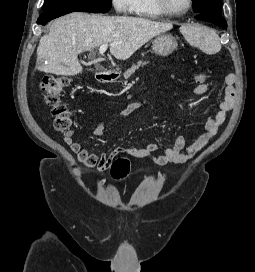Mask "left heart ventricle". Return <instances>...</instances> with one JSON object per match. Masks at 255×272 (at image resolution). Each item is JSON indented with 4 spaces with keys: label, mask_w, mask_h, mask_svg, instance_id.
<instances>
[{
    "label": "left heart ventricle",
    "mask_w": 255,
    "mask_h": 272,
    "mask_svg": "<svg viewBox=\"0 0 255 272\" xmlns=\"http://www.w3.org/2000/svg\"><path fill=\"white\" fill-rule=\"evenodd\" d=\"M168 7L172 11H181L186 8L188 0H166Z\"/></svg>",
    "instance_id": "obj_1"
}]
</instances>
